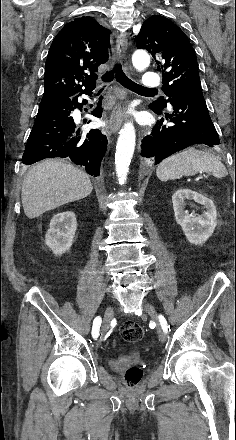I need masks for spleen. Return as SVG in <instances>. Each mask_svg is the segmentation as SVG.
<instances>
[{
    "instance_id": "obj_1",
    "label": "spleen",
    "mask_w": 236,
    "mask_h": 440,
    "mask_svg": "<svg viewBox=\"0 0 236 440\" xmlns=\"http://www.w3.org/2000/svg\"><path fill=\"white\" fill-rule=\"evenodd\" d=\"M198 172L211 173L217 178L228 174L223 163L215 155L193 147L166 158L156 169V175L161 181L193 176Z\"/></svg>"
}]
</instances>
